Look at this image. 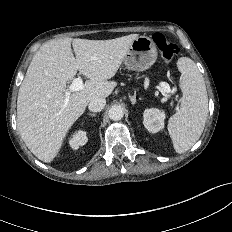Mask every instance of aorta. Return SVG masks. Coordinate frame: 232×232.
Instances as JSON below:
<instances>
[{
    "label": "aorta",
    "mask_w": 232,
    "mask_h": 232,
    "mask_svg": "<svg viewBox=\"0 0 232 232\" xmlns=\"http://www.w3.org/2000/svg\"><path fill=\"white\" fill-rule=\"evenodd\" d=\"M108 115L111 120L119 121L124 116V109L120 105H114L109 109Z\"/></svg>",
    "instance_id": "762f6f07"
}]
</instances>
